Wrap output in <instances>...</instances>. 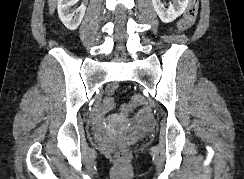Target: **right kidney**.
I'll return each mask as SVG.
<instances>
[{
  "mask_svg": "<svg viewBox=\"0 0 244 179\" xmlns=\"http://www.w3.org/2000/svg\"><path fill=\"white\" fill-rule=\"evenodd\" d=\"M77 2H79V0H58L57 2L58 16L68 30H77L86 12V6H84V4H81L76 12L71 10L72 6H75ZM70 12H72V14H70Z\"/></svg>",
  "mask_w": 244,
  "mask_h": 179,
  "instance_id": "obj_1",
  "label": "right kidney"
}]
</instances>
